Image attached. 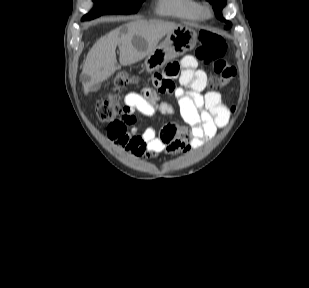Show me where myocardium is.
<instances>
[{
    "instance_id": "obj_1",
    "label": "myocardium",
    "mask_w": 309,
    "mask_h": 288,
    "mask_svg": "<svg viewBox=\"0 0 309 288\" xmlns=\"http://www.w3.org/2000/svg\"><path fill=\"white\" fill-rule=\"evenodd\" d=\"M203 12L207 15H211L212 14V9L210 7H205Z\"/></svg>"
}]
</instances>
